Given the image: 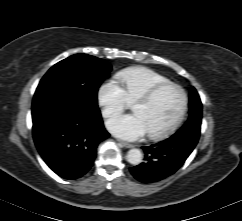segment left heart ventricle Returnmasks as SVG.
<instances>
[{"instance_id":"left-heart-ventricle-1","label":"left heart ventricle","mask_w":242,"mask_h":221,"mask_svg":"<svg viewBox=\"0 0 242 221\" xmlns=\"http://www.w3.org/2000/svg\"><path fill=\"white\" fill-rule=\"evenodd\" d=\"M181 103L180 92L177 89L168 88L150 104H134L132 111L141 117L147 133H154L165 129L174 121Z\"/></svg>"}]
</instances>
